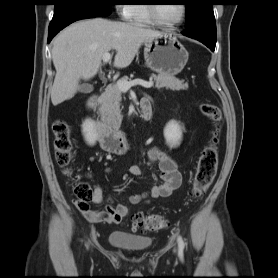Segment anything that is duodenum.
Segmentation results:
<instances>
[{
	"mask_svg": "<svg viewBox=\"0 0 278 278\" xmlns=\"http://www.w3.org/2000/svg\"><path fill=\"white\" fill-rule=\"evenodd\" d=\"M97 95H92L86 103L87 109L92 113L94 119V129L98 136V140L103 149L116 154H123L128 147V141L125 134L119 130L114 129L103 123L94 114L97 103ZM139 114L144 120L150 119L152 115V108L148 99H142L139 105Z\"/></svg>",
	"mask_w": 278,
	"mask_h": 278,
	"instance_id": "410a0bca",
	"label": "duodenum"
}]
</instances>
